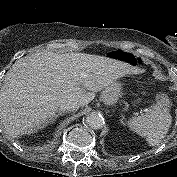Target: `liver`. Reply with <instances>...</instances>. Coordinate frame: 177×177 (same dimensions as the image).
<instances>
[{"mask_svg": "<svg viewBox=\"0 0 177 177\" xmlns=\"http://www.w3.org/2000/svg\"><path fill=\"white\" fill-rule=\"evenodd\" d=\"M143 70L118 59L85 53L42 52L17 60L0 91V122L16 138L45 127L61 104H89L117 79ZM89 92H86V91Z\"/></svg>", "mask_w": 177, "mask_h": 177, "instance_id": "liver-1", "label": "liver"}]
</instances>
